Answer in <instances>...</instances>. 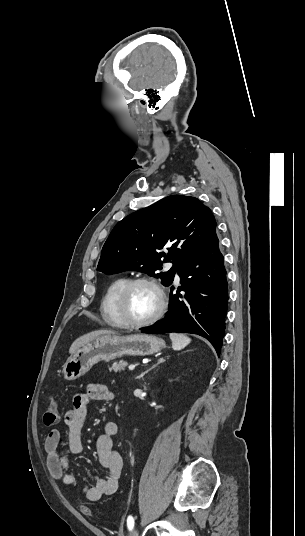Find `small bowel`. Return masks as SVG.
<instances>
[{
	"instance_id": "c3829d8e",
	"label": "small bowel",
	"mask_w": 305,
	"mask_h": 536,
	"mask_svg": "<svg viewBox=\"0 0 305 536\" xmlns=\"http://www.w3.org/2000/svg\"><path fill=\"white\" fill-rule=\"evenodd\" d=\"M113 392L101 383H90L83 393H77L73 397L72 407L64 415L66 428L65 440L62 439L58 429L49 431L44 450L46 453V466L55 479H62L69 487L78 489L80 495L89 501H98L103 496H111L118 490L119 481L123 470V457L115 449L113 436L117 433V425L108 422L104 432L99 435L96 442L97 457L100 465L106 469L105 477H94L91 487H81L72 474L66 472L68 460L62 455L61 446L65 444L72 454L82 452V429L86 417V406L89 400L111 401Z\"/></svg>"
}]
</instances>
